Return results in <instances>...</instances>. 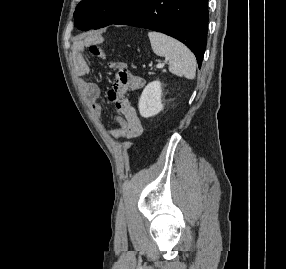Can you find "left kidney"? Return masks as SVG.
<instances>
[{"instance_id": "1", "label": "left kidney", "mask_w": 286, "mask_h": 269, "mask_svg": "<svg viewBox=\"0 0 286 269\" xmlns=\"http://www.w3.org/2000/svg\"><path fill=\"white\" fill-rule=\"evenodd\" d=\"M162 87L159 81L149 83L139 99V112L142 117L148 118L157 115L163 110L161 101Z\"/></svg>"}]
</instances>
